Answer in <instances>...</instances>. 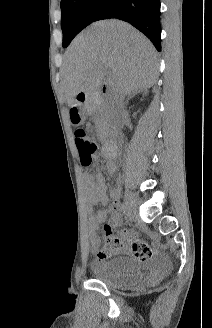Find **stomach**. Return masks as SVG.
Segmentation results:
<instances>
[{
	"mask_svg": "<svg viewBox=\"0 0 212 328\" xmlns=\"http://www.w3.org/2000/svg\"><path fill=\"white\" fill-rule=\"evenodd\" d=\"M68 120H71L72 124H83L84 118L79 113V106L78 105H71L70 109L68 110Z\"/></svg>",
	"mask_w": 212,
	"mask_h": 328,
	"instance_id": "obj_1",
	"label": "stomach"
}]
</instances>
